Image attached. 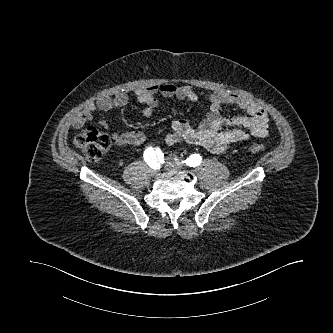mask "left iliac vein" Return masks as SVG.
Here are the masks:
<instances>
[{"instance_id":"left-iliac-vein-1","label":"left iliac vein","mask_w":333,"mask_h":333,"mask_svg":"<svg viewBox=\"0 0 333 333\" xmlns=\"http://www.w3.org/2000/svg\"><path fill=\"white\" fill-rule=\"evenodd\" d=\"M165 167L168 169H177L179 167V165H177L176 163H174L172 161H167L165 163Z\"/></svg>"}]
</instances>
